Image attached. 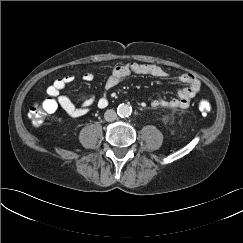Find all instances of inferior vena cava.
<instances>
[{
  "label": "inferior vena cava",
  "mask_w": 243,
  "mask_h": 243,
  "mask_svg": "<svg viewBox=\"0 0 243 243\" xmlns=\"http://www.w3.org/2000/svg\"><path fill=\"white\" fill-rule=\"evenodd\" d=\"M116 118H117V114L113 109H108L104 113V119L107 122H112V121L116 120Z\"/></svg>",
  "instance_id": "inferior-vena-cava-1"
}]
</instances>
